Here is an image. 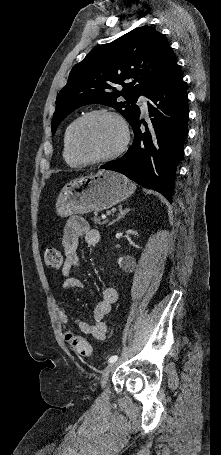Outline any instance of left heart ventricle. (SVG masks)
Listing matches in <instances>:
<instances>
[{"mask_svg":"<svg viewBox=\"0 0 221 455\" xmlns=\"http://www.w3.org/2000/svg\"><path fill=\"white\" fill-rule=\"evenodd\" d=\"M122 141L118 122L106 115L95 116L82 123L78 132V145L85 156L97 158L114 151Z\"/></svg>","mask_w":221,"mask_h":455,"instance_id":"b2bd125f","label":"left heart ventricle"}]
</instances>
